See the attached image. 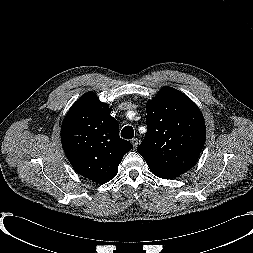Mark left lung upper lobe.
<instances>
[{
  "label": "left lung upper lobe",
  "mask_w": 253,
  "mask_h": 253,
  "mask_svg": "<svg viewBox=\"0 0 253 253\" xmlns=\"http://www.w3.org/2000/svg\"><path fill=\"white\" fill-rule=\"evenodd\" d=\"M147 133L137 151L151 172L180 176L196 163L206 140L203 115L185 94L163 87L146 105Z\"/></svg>",
  "instance_id": "1"
}]
</instances>
